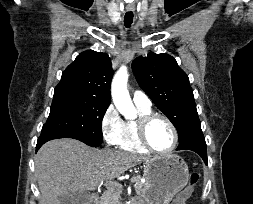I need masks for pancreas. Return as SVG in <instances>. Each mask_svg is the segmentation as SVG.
Masks as SVG:
<instances>
[{
	"label": "pancreas",
	"instance_id": "obj_1",
	"mask_svg": "<svg viewBox=\"0 0 253 204\" xmlns=\"http://www.w3.org/2000/svg\"><path fill=\"white\" fill-rule=\"evenodd\" d=\"M134 187L137 194H141L144 190V183L141 182L139 176H136ZM122 193V187L120 184L114 183L108 187L107 192L100 198L99 204H119V197Z\"/></svg>",
	"mask_w": 253,
	"mask_h": 204
}]
</instances>
